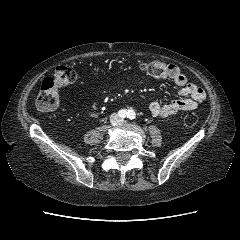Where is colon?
<instances>
[{
	"instance_id": "colon-1",
	"label": "colon",
	"mask_w": 240,
	"mask_h": 240,
	"mask_svg": "<svg viewBox=\"0 0 240 240\" xmlns=\"http://www.w3.org/2000/svg\"><path fill=\"white\" fill-rule=\"evenodd\" d=\"M140 69L151 77L161 80L168 76V64L160 60H154L140 64ZM77 72L67 65L56 67L50 76L44 78L37 95L35 106L41 112L54 110L59 103V89L69 86L77 79ZM197 116L188 113L182 117V125L191 128L197 123Z\"/></svg>"
}]
</instances>
